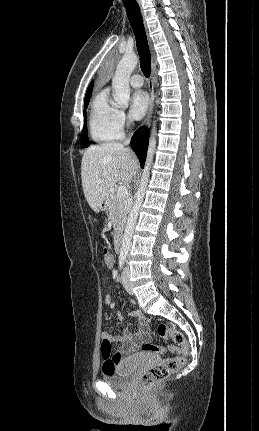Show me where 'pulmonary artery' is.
Returning <instances> with one entry per match:
<instances>
[{
  "label": "pulmonary artery",
  "instance_id": "1",
  "mask_svg": "<svg viewBox=\"0 0 259 431\" xmlns=\"http://www.w3.org/2000/svg\"><path fill=\"white\" fill-rule=\"evenodd\" d=\"M130 85L134 88H139L143 85V78L139 74H134L130 78Z\"/></svg>",
  "mask_w": 259,
  "mask_h": 431
}]
</instances>
